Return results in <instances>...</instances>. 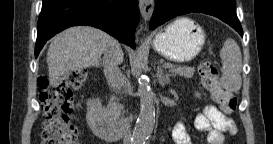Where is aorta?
Returning <instances> with one entry per match:
<instances>
[{"label":"aorta","instance_id":"1","mask_svg":"<svg viewBox=\"0 0 273 144\" xmlns=\"http://www.w3.org/2000/svg\"><path fill=\"white\" fill-rule=\"evenodd\" d=\"M138 83L140 114L134 128L132 141L135 144H145L154 128L155 107L153 103V92L148 77L146 75H140Z\"/></svg>","mask_w":273,"mask_h":144}]
</instances>
